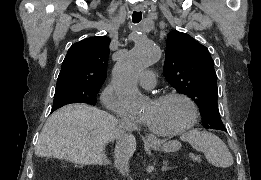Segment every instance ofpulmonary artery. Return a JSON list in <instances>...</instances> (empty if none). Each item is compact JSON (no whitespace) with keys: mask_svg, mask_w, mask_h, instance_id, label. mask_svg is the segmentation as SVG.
Instances as JSON below:
<instances>
[{"mask_svg":"<svg viewBox=\"0 0 261 180\" xmlns=\"http://www.w3.org/2000/svg\"><path fill=\"white\" fill-rule=\"evenodd\" d=\"M144 70H145L144 73H140V75L138 76L140 88H155L156 73L151 69H144Z\"/></svg>","mask_w":261,"mask_h":180,"instance_id":"obj_1","label":"pulmonary artery"}]
</instances>
